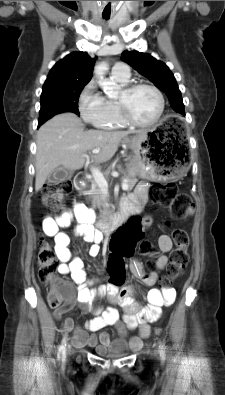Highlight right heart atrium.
<instances>
[{"label":"right heart atrium","instance_id":"1","mask_svg":"<svg viewBox=\"0 0 225 395\" xmlns=\"http://www.w3.org/2000/svg\"><path fill=\"white\" fill-rule=\"evenodd\" d=\"M78 109L85 123L94 127L101 125L106 115V103L104 97L97 92L93 81H90L81 92Z\"/></svg>","mask_w":225,"mask_h":395}]
</instances>
